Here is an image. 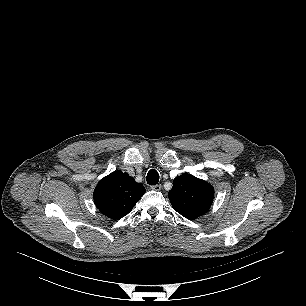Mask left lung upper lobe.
<instances>
[{
    "instance_id": "obj_1",
    "label": "left lung upper lobe",
    "mask_w": 306,
    "mask_h": 306,
    "mask_svg": "<svg viewBox=\"0 0 306 306\" xmlns=\"http://www.w3.org/2000/svg\"><path fill=\"white\" fill-rule=\"evenodd\" d=\"M213 198V187L191 174L176 177L169 191L173 209L190 220L207 212Z\"/></svg>"
}]
</instances>
